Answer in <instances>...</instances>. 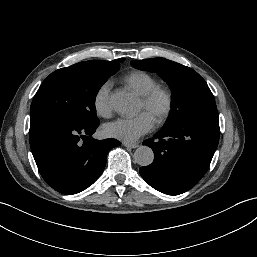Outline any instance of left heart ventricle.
Here are the masks:
<instances>
[{"label": "left heart ventricle", "instance_id": "b2bd125f", "mask_svg": "<svg viewBox=\"0 0 257 257\" xmlns=\"http://www.w3.org/2000/svg\"><path fill=\"white\" fill-rule=\"evenodd\" d=\"M163 106L164 102L162 99H158L154 104L150 106H146L140 101L139 112H146L155 120L158 114L162 111Z\"/></svg>", "mask_w": 257, "mask_h": 257}]
</instances>
